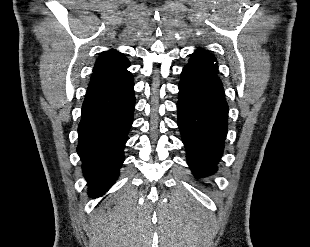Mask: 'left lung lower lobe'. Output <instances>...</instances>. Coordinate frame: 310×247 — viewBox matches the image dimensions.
Listing matches in <instances>:
<instances>
[{
    "label": "left lung lower lobe",
    "instance_id": "1",
    "mask_svg": "<svg viewBox=\"0 0 310 247\" xmlns=\"http://www.w3.org/2000/svg\"><path fill=\"white\" fill-rule=\"evenodd\" d=\"M178 126L196 177L213 174L227 134L228 105L215 73L184 67L179 83Z\"/></svg>",
    "mask_w": 310,
    "mask_h": 247
}]
</instances>
